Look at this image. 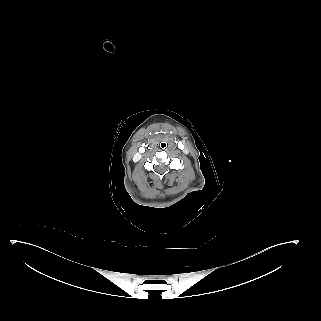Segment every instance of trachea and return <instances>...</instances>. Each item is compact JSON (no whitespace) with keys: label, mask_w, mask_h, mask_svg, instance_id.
Instances as JSON below:
<instances>
[{"label":"trachea","mask_w":321,"mask_h":321,"mask_svg":"<svg viewBox=\"0 0 321 321\" xmlns=\"http://www.w3.org/2000/svg\"><path fill=\"white\" fill-rule=\"evenodd\" d=\"M159 146L164 149L166 147V143L164 141H161L159 143Z\"/></svg>","instance_id":"trachea-1"}]
</instances>
